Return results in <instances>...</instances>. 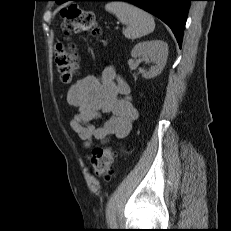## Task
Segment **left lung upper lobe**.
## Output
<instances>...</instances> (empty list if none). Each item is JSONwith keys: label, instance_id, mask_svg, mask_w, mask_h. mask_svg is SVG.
I'll use <instances>...</instances> for the list:
<instances>
[{"label": "left lung upper lobe", "instance_id": "1", "mask_svg": "<svg viewBox=\"0 0 231 231\" xmlns=\"http://www.w3.org/2000/svg\"><path fill=\"white\" fill-rule=\"evenodd\" d=\"M54 1H56L58 4L63 2V0H54Z\"/></svg>", "mask_w": 231, "mask_h": 231}]
</instances>
